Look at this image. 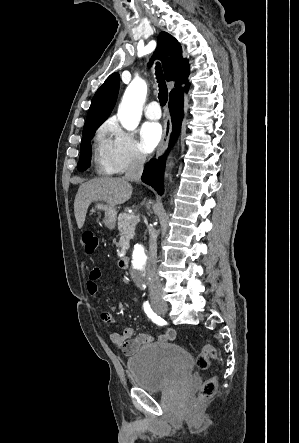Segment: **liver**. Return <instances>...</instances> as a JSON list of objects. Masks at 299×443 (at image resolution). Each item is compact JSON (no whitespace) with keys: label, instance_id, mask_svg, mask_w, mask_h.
<instances>
[{"label":"liver","instance_id":"1","mask_svg":"<svg viewBox=\"0 0 299 443\" xmlns=\"http://www.w3.org/2000/svg\"><path fill=\"white\" fill-rule=\"evenodd\" d=\"M132 190V185L124 177L95 178L81 184L74 201L78 228L83 227L87 210L92 202L100 201L114 206L124 204L131 198Z\"/></svg>","mask_w":299,"mask_h":443}]
</instances>
